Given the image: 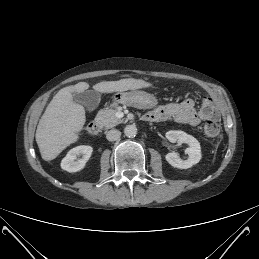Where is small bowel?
<instances>
[{
	"label": "small bowel",
	"instance_id": "c3829d8e",
	"mask_svg": "<svg viewBox=\"0 0 259 259\" xmlns=\"http://www.w3.org/2000/svg\"><path fill=\"white\" fill-rule=\"evenodd\" d=\"M144 116L149 117V120H147L148 122H161L173 119L177 123L190 126H197L203 119L209 117L202 108L200 111H197L194 101L189 98L181 102H172L161 105L146 113Z\"/></svg>",
	"mask_w": 259,
	"mask_h": 259
}]
</instances>
